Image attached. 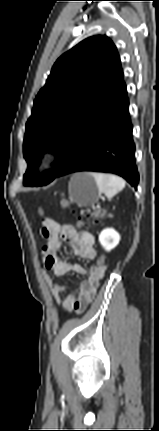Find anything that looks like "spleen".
I'll use <instances>...</instances> for the list:
<instances>
[{
	"instance_id": "spleen-1",
	"label": "spleen",
	"mask_w": 159,
	"mask_h": 431,
	"mask_svg": "<svg viewBox=\"0 0 159 431\" xmlns=\"http://www.w3.org/2000/svg\"><path fill=\"white\" fill-rule=\"evenodd\" d=\"M94 178L98 190L108 199H112L118 192L125 187V181L116 175L103 173H90Z\"/></svg>"
}]
</instances>
